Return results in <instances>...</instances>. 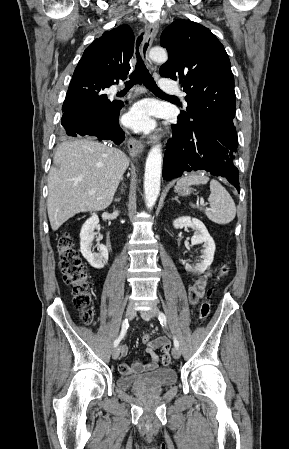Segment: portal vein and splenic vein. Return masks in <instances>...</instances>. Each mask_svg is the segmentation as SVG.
Wrapping results in <instances>:
<instances>
[{
    "label": "portal vein and splenic vein",
    "instance_id": "portal-vein-and-splenic-vein-1",
    "mask_svg": "<svg viewBox=\"0 0 289 449\" xmlns=\"http://www.w3.org/2000/svg\"><path fill=\"white\" fill-rule=\"evenodd\" d=\"M90 194H94V192H93V191H91V192H90ZM201 204H202V205H207L206 203L204 204V202H203V201H201Z\"/></svg>",
    "mask_w": 289,
    "mask_h": 449
}]
</instances>
